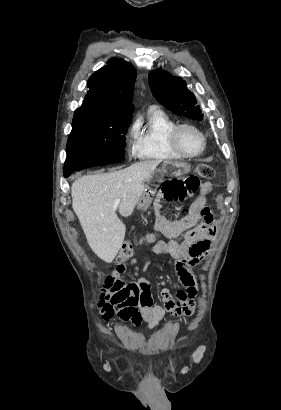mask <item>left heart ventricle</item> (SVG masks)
<instances>
[{
  "label": "left heart ventricle",
  "instance_id": "obj_1",
  "mask_svg": "<svg viewBox=\"0 0 281 410\" xmlns=\"http://www.w3.org/2000/svg\"><path fill=\"white\" fill-rule=\"evenodd\" d=\"M182 147L189 153L197 152L202 146L200 135L191 129H185L180 135Z\"/></svg>",
  "mask_w": 281,
  "mask_h": 410
}]
</instances>
